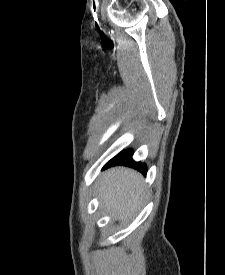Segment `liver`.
<instances>
[{"instance_id": "1", "label": "liver", "mask_w": 225, "mask_h": 275, "mask_svg": "<svg viewBox=\"0 0 225 275\" xmlns=\"http://www.w3.org/2000/svg\"><path fill=\"white\" fill-rule=\"evenodd\" d=\"M98 194L100 205L114 218L125 221L142 204L144 199L143 177L129 168H111L102 174Z\"/></svg>"}]
</instances>
